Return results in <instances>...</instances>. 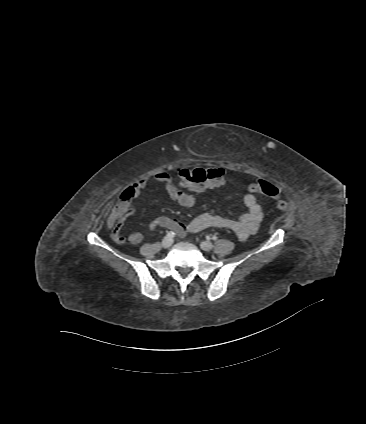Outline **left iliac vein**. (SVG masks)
<instances>
[{"instance_id":"obj_1","label":"left iliac vein","mask_w":366,"mask_h":424,"mask_svg":"<svg viewBox=\"0 0 366 424\" xmlns=\"http://www.w3.org/2000/svg\"><path fill=\"white\" fill-rule=\"evenodd\" d=\"M200 246H201V248H202L204 251H210V250H212V249H213V247H214L213 243H212V242H209V241H202V242L200 243Z\"/></svg>"}]
</instances>
